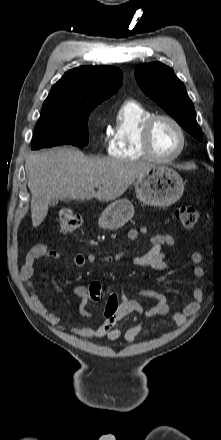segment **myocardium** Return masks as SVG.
Segmentation results:
<instances>
[{
  "label": "myocardium",
  "instance_id": "f54148a6",
  "mask_svg": "<svg viewBox=\"0 0 221 440\" xmlns=\"http://www.w3.org/2000/svg\"><path fill=\"white\" fill-rule=\"evenodd\" d=\"M159 120H166V121H169L170 123H172L176 127V129L178 130L179 135H180V146H179L178 150L173 155L168 156V157L159 156L155 152L153 145H152L153 129ZM141 142H142L143 150L149 159L156 161V162H160V163H168V162H172L175 159H177L185 150L186 133H185V130H184L183 126L181 125V123L177 119H175L173 116L168 115V114H152L142 124Z\"/></svg>",
  "mask_w": 221,
  "mask_h": 440
}]
</instances>
